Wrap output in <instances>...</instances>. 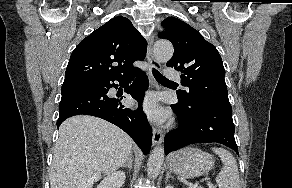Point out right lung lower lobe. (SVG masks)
Instances as JSON below:
<instances>
[{
    "label": "right lung lower lobe",
    "instance_id": "right-lung-lower-lobe-1",
    "mask_svg": "<svg viewBox=\"0 0 292 188\" xmlns=\"http://www.w3.org/2000/svg\"><path fill=\"white\" fill-rule=\"evenodd\" d=\"M136 77L125 91L138 101V109L131 110L121 104V96L110 95L109 89L120 84H126ZM148 87V78L143 71L124 78H94L68 79L62 85V98L59 104V118L57 127L62 121L74 115H92L105 119L124 130L140 147L144 154H148L152 142V130L142 111L144 92Z\"/></svg>",
    "mask_w": 292,
    "mask_h": 188
}]
</instances>
